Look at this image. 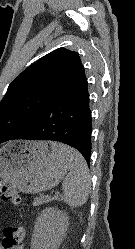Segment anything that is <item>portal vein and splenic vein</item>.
I'll use <instances>...</instances> for the list:
<instances>
[{
    "instance_id": "18ae733b",
    "label": "portal vein and splenic vein",
    "mask_w": 135,
    "mask_h": 249,
    "mask_svg": "<svg viewBox=\"0 0 135 249\" xmlns=\"http://www.w3.org/2000/svg\"><path fill=\"white\" fill-rule=\"evenodd\" d=\"M59 192H55V196H58Z\"/></svg>"
}]
</instances>
